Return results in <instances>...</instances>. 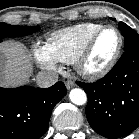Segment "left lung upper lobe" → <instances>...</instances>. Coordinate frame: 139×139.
Listing matches in <instances>:
<instances>
[{
  "label": "left lung upper lobe",
  "mask_w": 139,
  "mask_h": 139,
  "mask_svg": "<svg viewBox=\"0 0 139 139\" xmlns=\"http://www.w3.org/2000/svg\"><path fill=\"white\" fill-rule=\"evenodd\" d=\"M119 28L124 36L125 51L134 47H139V35L133 29L123 22L119 23Z\"/></svg>",
  "instance_id": "obj_1"
}]
</instances>
